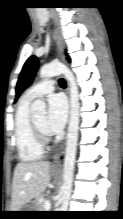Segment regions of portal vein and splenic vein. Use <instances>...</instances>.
Instances as JSON below:
<instances>
[{
  "mask_svg": "<svg viewBox=\"0 0 123 219\" xmlns=\"http://www.w3.org/2000/svg\"><path fill=\"white\" fill-rule=\"evenodd\" d=\"M50 207H51V202H50V200H46L45 203H44V208H45L46 210H48V209H50Z\"/></svg>",
  "mask_w": 123,
  "mask_h": 219,
  "instance_id": "obj_1",
  "label": "portal vein and splenic vein"
}]
</instances>
